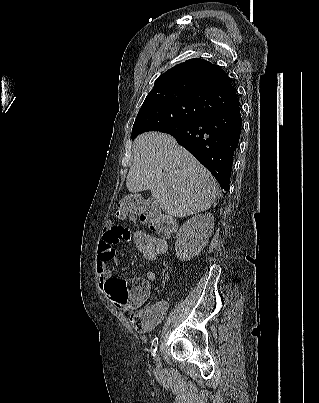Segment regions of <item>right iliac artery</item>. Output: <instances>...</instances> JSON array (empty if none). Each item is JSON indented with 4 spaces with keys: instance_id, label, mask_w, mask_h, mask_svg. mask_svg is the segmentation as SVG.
Here are the masks:
<instances>
[{
    "instance_id": "right-iliac-artery-1",
    "label": "right iliac artery",
    "mask_w": 319,
    "mask_h": 403,
    "mask_svg": "<svg viewBox=\"0 0 319 403\" xmlns=\"http://www.w3.org/2000/svg\"><path fill=\"white\" fill-rule=\"evenodd\" d=\"M157 345H158V337H155L151 343V354L153 358L156 356Z\"/></svg>"
}]
</instances>
